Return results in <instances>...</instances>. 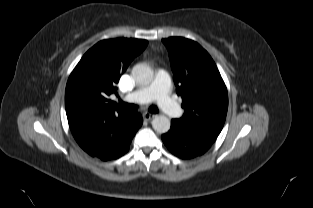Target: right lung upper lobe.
Listing matches in <instances>:
<instances>
[{
    "mask_svg": "<svg viewBox=\"0 0 313 208\" xmlns=\"http://www.w3.org/2000/svg\"><path fill=\"white\" fill-rule=\"evenodd\" d=\"M147 44L141 39L116 38L100 41L89 49L72 71L66 85L68 120L128 114L107 97L117 93L115 85L120 76Z\"/></svg>",
    "mask_w": 313,
    "mask_h": 208,
    "instance_id": "right-lung-upper-lobe-1",
    "label": "right lung upper lobe"
}]
</instances>
